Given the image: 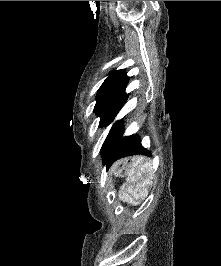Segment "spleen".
<instances>
[{
	"instance_id": "spleen-1",
	"label": "spleen",
	"mask_w": 221,
	"mask_h": 266,
	"mask_svg": "<svg viewBox=\"0 0 221 266\" xmlns=\"http://www.w3.org/2000/svg\"><path fill=\"white\" fill-rule=\"evenodd\" d=\"M154 177L151 160H145L142 156L133 158L127 179L126 201L131 204H138L144 200L148 195V189L153 185Z\"/></svg>"
}]
</instances>
